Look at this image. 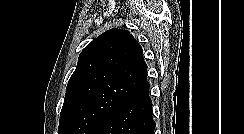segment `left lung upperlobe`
Instances as JSON below:
<instances>
[{
    "instance_id": "1",
    "label": "left lung upper lobe",
    "mask_w": 244,
    "mask_h": 134,
    "mask_svg": "<svg viewBox=\"0 0 244 134\" xmlns=\"http://www.w3.org/2000/svg\"><path fill=\"white\" fill-rule=\"evenodd\" d=\"M142 52L122 29H110L90 42L66 87L58 133L96 134L119 106L148 93Z\"/></svg>"
}]
</instances>
